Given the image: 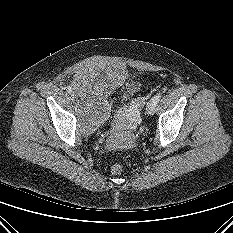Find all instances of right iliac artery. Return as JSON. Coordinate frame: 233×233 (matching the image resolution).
I'll use <instances>...</instances> for the list:
<instances>
[{
  "mask_svg": "<svg viewBox=\"0 0 233 233\" xmlns=\"http://www.w3.org/2000/svg\"><path fill=\"white\" fill-rule=\"evenodd\" d=\"M66 91H67L68 93H71V92H72L71 87H67V88H66Z\"/></svg>",
  "mask_w": 233,
  "mask_h": 233,
  "instance_id": "right-iliac-artery-1",
  "label": "right iliac artery"
}]
</instances>
